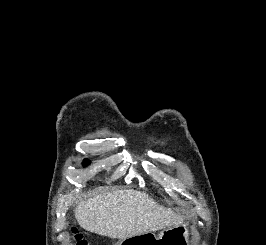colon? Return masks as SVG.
Masks as SVG:
<instances>
[{
	"mask_svg": "<svg viewBox=\"0 0 266 245\" xmlns=\"http://www.w3.org/2000/svg\"><path fill=\"white\" fill-rule=\"evenodd\" d=\"M70 234L73 238L74 245H88V242L83 238V235L75 228H70Z\"/></svg>",
	"mask_w": 266,
	"mask_h": 245,
	"instance_id": "5ec220e1",
	"label": "colon"
}]
</instances>
